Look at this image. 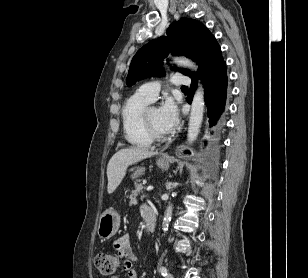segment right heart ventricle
I'll use <instances>...</instances> for the list:
<instances>
[{
    "label": "right heart ventricle",
    "mask_w": 308,
    "mask_h": 278,
    "mask_svg": "<svg viewBox=\"0 0 308 278\" xmlns=\"http://www.w3.org/2000/svg\"><path fill=\"white\" fill-rule=\"evenodd\" d=\"M150 101L138 93L130 96L124 103L121 116L126 140L133 146L147 148L153 139L146 132L142 123V113Z\"/></svg>",
    "instance_id": "1"
}]
</instances>
